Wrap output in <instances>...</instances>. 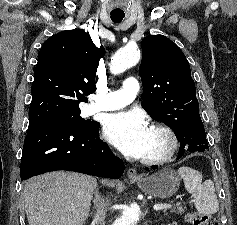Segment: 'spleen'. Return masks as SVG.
Returning <instances> with one entry per match:
<instances>
[{
	"label": "spleen",
	"mask_w": 237,
	"mask_h": 225,
	"mask_svg": "<svg viewBox=\"0 0 237 225\" xmlns=\"http://www.w3.org/2000/svg\"><path fill=\"white\" fill-rule=\"evenodd\" d=\"M178 173L184 180L185 189L193 196L197 211L205 215L215 214L219 209V203L214 183L211 180L202 183V174L190 167H180Z\"/></svg>",
	"instance_id": "3e777b00"
}]
</instances>
